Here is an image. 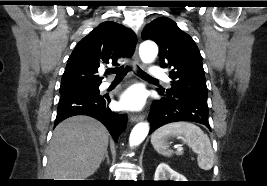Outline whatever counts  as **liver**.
Here are the masks:
<instances>
[{
	"label": "liver",
	"instance_id": "obj_1",
	"mask_svg": "<svg viewBox=\"0 0 267 186\" xmlns=\"http://www.w3.org/2000/svg\"><path fill=\"white\" fill-rule=\"evenodd\" d=\"M108 136L105 126L88 116L62 121L53 131L45 177L85 180L98 169L107 151Z\"/></svg>",
	"mask_w": 267,
	"mask_h": 186
}]
</instances>
